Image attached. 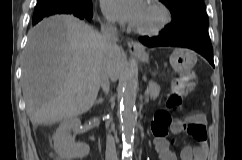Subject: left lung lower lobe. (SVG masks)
Instances as JSON below:
<instances>
[{
    "label": "left lung lower lobe",
    "instance_id": "obj_1",
    "mask_svg": "<svg viewBox=\"0 0 242 160\" xmlns=\"http://www.w3.org/2000/svg\"><path fill=\"white\" fill-rule=\"evenodd\" d=\"M139 41L148 47L173 46L195 50L204 56L214 67L213 50L207 27H191L178 34H170L162 30L159 36L140 37Z\"/></svg>",
    "mask_w": 242,
    "mask_h": 160
}]
</instances>
